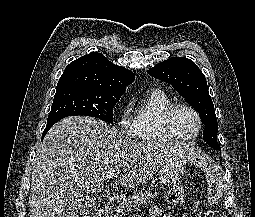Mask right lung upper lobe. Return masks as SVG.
Listing matches in <instances>:
<instances>
[{
  "label": "right lung upper lobe",
  "mask_w": 255,
  "mask_h": 217,
  "mask_svg": "<svg viewBox=\"0 0 255 217\" xmlns=\"http://www.w3.org/2000/svg\"><path fill=\"white\" fill-rule=\"evenodd\" d=\"M134 74L111 63L103 54L92 52L71 62L60 77L57 89L82 87L106 92H124Z\"/></svg>",
  "instance_id": "cb5924a9"
}]
</instances>
